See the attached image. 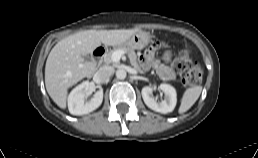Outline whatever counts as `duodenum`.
Returning a JSON list of instances; mask_svg holds the SVG:
<instances>
[{"mask_svg":"<svg viewBox=\"0 0 258 158\" xmlns=\"http://www.w3.org/2000/svg\"><path fill=\"white\" fill-rule=\"evenodd\" d=\"M105 52H106V49L103 46L95 47L91 53V61L94 64H98L102 59V57L104 56Z\"/></svg>","mask_w":258,"mask_h":158,"instance_id":"410a0bca","label":"duodenum"}]
</instances>
